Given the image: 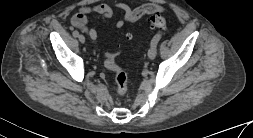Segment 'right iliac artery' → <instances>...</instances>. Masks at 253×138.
<instances>
[{
    "instance_id": "obj_1",
    "label": "right iliac artery",
    "mask_w": 253,
    "mask_h": 138,
    "mask_svg": "<svg viewBox=\"0 0 253 138\" xmlns=\"http://www.w3.org/2000/svg\"><path fill=\"white\" fill-rule=\"evenodd\" d=\"M73 36H74V37H78V36H79V32H78V31H74V32H73Z\"/></svg>"
}]
</instances>
